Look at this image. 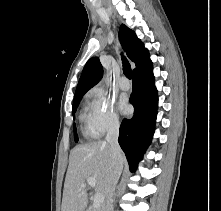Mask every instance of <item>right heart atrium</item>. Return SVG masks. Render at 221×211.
Here are the masks:
<instances>
[{
  "instance_id": "d8ad5b80",
  "label": "right heart atrium",
  "mask_w": 221,
  "mask_h": 211,
  "mask_svg": "<svg viewBox=\"0 0 221 211\" xmlns=\"http://www.w3.org/2000/svg\"><path fill=\"white\" fill-rule=\"evenodd\" d=\"M89 97V124L97 136L118 129L119 117L112 100L100 89H93Z\"/></svg>"
}]
</instances>
